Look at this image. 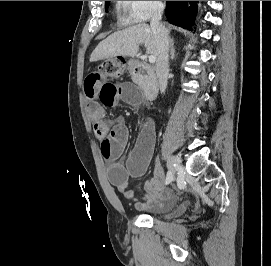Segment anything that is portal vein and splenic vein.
Wrapping results in <instances>:
<instances>
[{"mask_svg":"<svg viewBox=\"0 0 271 266\" xmlns=\"http://www.w3.org/2000/svg\"><path fill=\"white\" fill-rule=\"evenodd\" d=\"M156 62V57L153 55L149 56V63L154 64Z\"/></svg>","mask_w":271,"mask_h":266,"instance_id":"portal-vein-and-splenic-vein-1","label":"portal vein and splenic vein"}]
</instances>
